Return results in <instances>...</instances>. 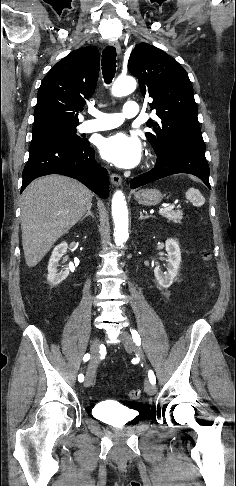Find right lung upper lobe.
Masks as SVG:
<instances>
[{"instance_id":"obj_1","label":"right lung upper lobe","mask_w":236,"mask_h":486,"mask_svg":"<svg viewBox=\"0 0 236 486\" xmlns=\"http://www.w3.org/2000/svg\"><path fill=\"white\" fill-rule=\"evenodd\" d=\"M99 76L95 47L77 49L55 64L44 77L37 95L34 124H79L78 111L94 93Z\"/></svg>"}]
</instances>
